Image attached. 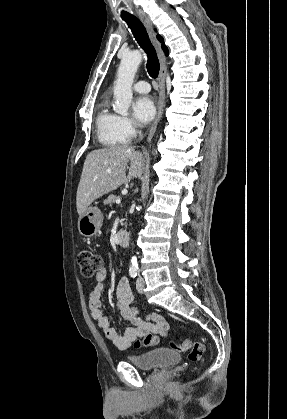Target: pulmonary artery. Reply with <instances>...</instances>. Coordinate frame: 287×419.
I'll return each instance as SVG.
<instances>
[{"label":"pulmonary artery","mask_w":287,"mask_h":419,"mask_svg":"<svg viewBox=\"0 0 287 419\" xmlns=\"http://www.w3.org/2000/svg\"><path fill=\"white\" fill-rule=\"evenodd\" d=\"M133 89L139 93H147L150 91V85L146 81H139L133 85Z\"/></svg>","instance_id":"pulmonary-artery-1"}]
</instances>
